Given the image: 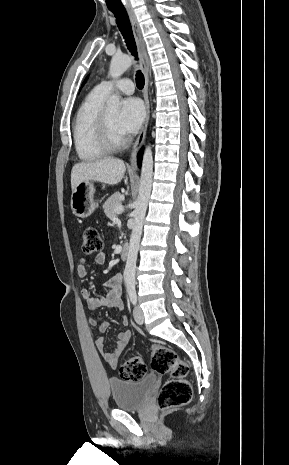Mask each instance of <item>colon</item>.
I'll list each match as a JSON object with an SVG mask.
<instances>
[{"mask_svg":"<svg viewBox=\"0 0 289 465\" xmlns=\"http://www.w3.org/2000/svg\"><path fill=\"white\" fill-rule=\"evenodd\" d=\"M81 249L85 254L100 252L103 242L93 227H86L81 235ZM151 368L159 374H171L159 391L157 402L161 409L183 406L192 398V387L188 381L189 366L182 361L177 352L163 345L151 346ZM147 374V365L140 357H131L119 368V375L124 380L136 381Z\"/></svg>","mask_w":289,"mask_h":465,"instance_id":"5ec220e1","label":"colon"}]
</instances>
